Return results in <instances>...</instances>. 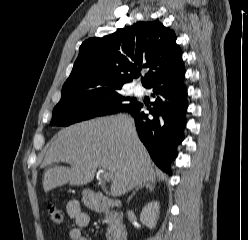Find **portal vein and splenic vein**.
Wrapping results in <instances>:
<instances>
[{
  "instance_id": "obj_1",
  "label": "portal vein and splenic vein",
  "mask_w": 248,
  "mask_h": 240,
  "mask_svg": "<svg viewBox=\"0 0 248 240\" xmlns=\"http://www.w3.org/2000/svg\"><path fill=\"white\" fill-rule=\"evenodd\" d=\"M101 176L106 181H110L112 179V177H113L112 173L109 172V171H106L105 169L101 170Z\"/></svg>"
}]
</instances>
